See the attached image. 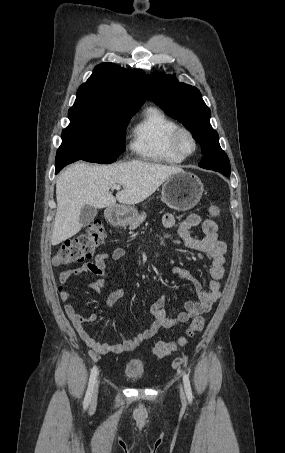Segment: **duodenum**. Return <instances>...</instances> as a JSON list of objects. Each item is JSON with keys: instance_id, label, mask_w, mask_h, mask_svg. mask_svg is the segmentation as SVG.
<instances>
[{"instance_id": "1", "label": "duodenum", "mask_w": 285, "mask_h": 453, "mask_svg": "<svg viewBox=\"0 0 285 453\" xmlns=\"http://www.w3.org/2000/svg\"><path fill=\"white\" fill-rule=\"evenodd\" d=\"M117 217V209L114 207H111L108 209L107 212V218L110 222H115Z\"/></svg>"}]
</instances>
